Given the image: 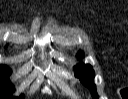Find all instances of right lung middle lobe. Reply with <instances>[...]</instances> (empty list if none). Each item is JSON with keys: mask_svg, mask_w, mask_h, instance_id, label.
<instances>
[{"mask_svg": "<svg viewBox=\"0 0 128 99\" xmlns=\"http://www.w3.org/2000/svg\"><path fill=\"white\" fill-rule=\"evenodd\" d=\"M10 74L11 69L5 65H0V99H16L11 96V93L14 92V86L7 81Z\"/></svg>", "mask_w": 128, "mask_h": 99, "instance_id": "right-lung-middle-lobe-1", "label": "right lung middle lobe"}]
</instances>
